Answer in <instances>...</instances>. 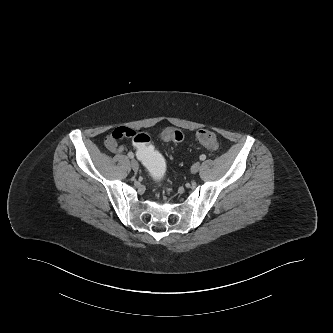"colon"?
Listing matches in <instances>:
<instances>
[{
  "label": "colon",
  "mask_w": 333,
  "mask_h": 333,
  "mask_svg": "<svg viewBox=\"0 0 333 333\" xmlns=\"http://www.w3.org/2000/svg\"><path fill=\"white\" fill-rule=\"evenodd\" d=\"M136 132V131H135ZM160 138L163 141L180 143L184 141V133L176 128L165 129L161 132ZM198 141L206 148L216 150L219 147L217 136L209 130H201L197 133ZM151 139L148 134L136 132V139L132 142L135 146V154L142 165L150 173V179L154 183H161L165 179L166 162L160 156L158 148L150 144Z\"/></svg>",
  "instance_id": "5ec220e1"
}]
</instances>
